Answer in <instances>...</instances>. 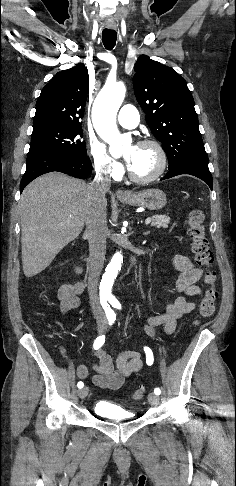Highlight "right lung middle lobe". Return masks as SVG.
Instances as JSON below:
<instances>
[{
    "mask_svg": "<svg viewBox=\"0 0 236 486\" xmlns=\"http://www.w3.org/2000/svg\"><path fill=\"white\" fill-rule=\"evenodd\" d=\"M81 126L41 125L33 127L29 154L56 153L87 156Z\"/></svg>",
    "mask_w": 236,
    "mask_h": 486,
    "instance_id": "right-lung-middle-lobe-1",
    "label": "right lung middle lobe"
}]
</instances>
